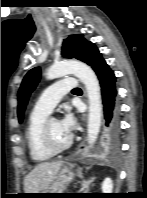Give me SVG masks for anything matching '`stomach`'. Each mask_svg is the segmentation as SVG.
I'll return each instance as SVG.
<instances>
[{
  "instance_id": "0dacf381",
  "label": "stomach",
  "mask_w": 147,
  "mask_h": 198,
  "mask_svg": "<svg viewBox=\"0 0 147 198\" xmlns=\"http://www.w3.org/2000/svg\"><path fill=\"white\" fill-rule=\"evenodd\" d=\"M74 173L71 170L70 167H63L60 172L58 173L55 181L50 184L46 189L39 192L40 194H37L36 198H49L53 197L57 194L55 193H64L63 191L65 188L71 183V181L74 179Z\"/></svg>"
}]
</instances>
